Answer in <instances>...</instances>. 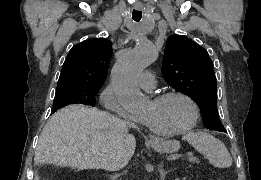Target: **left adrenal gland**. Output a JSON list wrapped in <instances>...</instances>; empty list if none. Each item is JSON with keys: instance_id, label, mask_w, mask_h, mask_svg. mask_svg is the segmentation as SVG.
Segmentation results:
<instances>
[{"instance_id": "a2214340", "label": "left adrenal gland", "mask_w": 261, "mask_h": 180, "mask_svg": "<svg viewBox=\"0 0 261 180\" xmlns=\"http://www.w3.org/2000/svg\"><path fill=\"white\" fill-rule=\"evenodd\" d=\"M163 162H161L160 166H159V176H160V180H165L166 178V174H168V172H165V170H163Z\"/></svg>"}]
</instances>
